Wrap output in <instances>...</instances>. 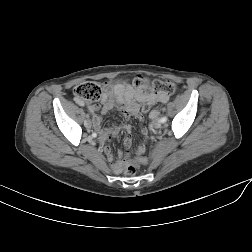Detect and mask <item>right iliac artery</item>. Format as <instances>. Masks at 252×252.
Instances as JSON below:
<instances>
[{"label": "right iliac artery", "instance_id": "1", "mask_svg": "<svg viewBox=\"0 0 252 252\" xmlns=\"http://www.w3.org/2000/svg\"><path fill=\"white\" fill-rule=\"evenodd\" d=\"M89 110H90V108H89ZM91 111V110H90ZM92 137L93 138H96L97 137V133L96 132H92Z\"/></svg>", "mask_w": 252, "mask_h": 252}]
</instances>
